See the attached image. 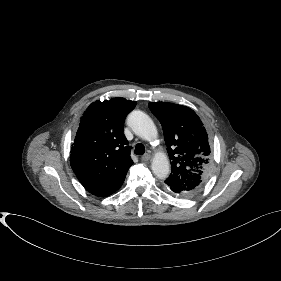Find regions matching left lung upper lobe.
<instances>
[{"mask_svg":"<svg viewBox=\"0 0 281 281\" xmlns=\"http://www.w3.org/2000/svg\"><path fill=\"white\" fill-rule=\"evenodd\" d=\"M148 106L162 125L172 166L165 184L191 197L202 189L211 173L206 130L189 107L167 102H150Z\"/></svg>","mask_w":281,"mask_h":281,"instance_id":"1","label":"left lung upper lobe"}]
</instances>
